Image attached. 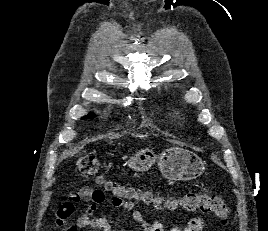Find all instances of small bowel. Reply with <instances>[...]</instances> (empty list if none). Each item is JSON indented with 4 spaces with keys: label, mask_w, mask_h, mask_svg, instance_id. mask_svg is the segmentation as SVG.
Listing matches in <instances>:
<instances>
[{
    "label": "small bowel",
    "mask_w": 268,
    "mask_h": 231,
    "mask_svg": "<svg viewBox=\"0 0 268 231\" xmlns=\"http://www.w3.org/2000/svg\"><path fill=\"white\" fill-rule=\"evenodd\" d=\"M82 192H85L82 194ZM80 201L88 203L86 211L76 216L75 219V204ZM106 196L102 189L92 188L89 186L83 187L78 194H74L71 198L65 201L55 213L54 222L61 228L62 231H82L85 229H99L101 231H113L107 217L100 215L99 209L105 203ZM116 208L125 209L131 212L132 219L141 226L144 231H166L163 223L155 218L152 221L147 220L143 214L133 208L132 204L122 207L121 204L114 203ZM204 221L201 218L191 219L186 226H175L169 231H203Z\"/></svg>",
    "instance_id": "obj_1"
}]
</instances>
